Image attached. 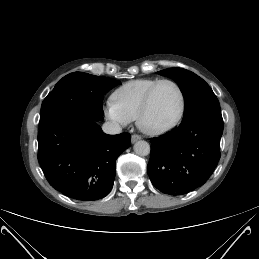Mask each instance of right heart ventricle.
I'll list each match as a JSON object with an SVG mask.
<instances>
[{"instance_id": "1", "label": "right heart ventricle", "mask_w": 259, "mask_h": 259, "mask_svg": "<svg viewBox=\"0 0 259 259\" xmlns=\"http://www.w3.org/2000/svg\"><path fill=\"white\" fill-rule=\"evenodd\" d=\"M158 80V78L135 79L115 90L113 100L130 121L137 118L147 91Z\"/></svg>"}]
</instances>
